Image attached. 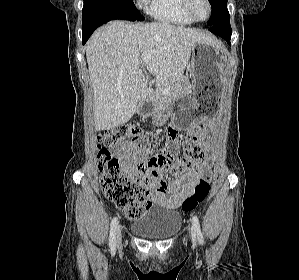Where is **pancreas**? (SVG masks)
Wrapping results in <instances>:
<instances>
[{"label":"pancreas","instance_id":"cf45deb5","mask_svg":"<svg viewBox=\"0 0 299 280\" xmlns=\"http://www.w3.org/2000/svg\"><path fill=\"white\" fill-rule=\"evenodd\" d=\"M167 87L170 88L171 91L170 94L168 95L161 94V90ZM189 90H190V86L187 81H183L182 83H176V84H173L172 82H167L159 86V91H150L147 100L151 102L153 105L159 107L163 105L165 102H167L172 95H175L179 92H188Z\"/></svg>","mask_w":299,"mask_h":280}]
</instances>
